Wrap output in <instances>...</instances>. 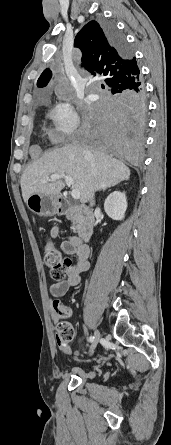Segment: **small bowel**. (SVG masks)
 Masks as SVG:
<instances>
[{"label": "small bowel", "instance_id": "c3829d8e", "mask_svg": "<svg viewBox=\"0 0 171 445\" xmlns=\"http://www.w3.org/2000/svg\"><path fill=\"white\" fill-rule=\"evenodd\" d=\"M50 235L53 239H57L59 237V228L57 226L52 227ZM60 249L66 255H76L77 261L66 269V279L51 285V292L55 297L63 296L71 287L76 286L80 282L81 273L87 271L90 266L89 248L76 236H69L62 240ZM50 306L52 321L59 323L62 318L61 310L63 308L57 300L52 301ZM64 310L65 316L70 314L69 310ZM60 349L64 354H71L72 352L71 347L68 345H60Z\"/></svg>", "mask_w": 171, "mask_h": 445}]
</instances>
